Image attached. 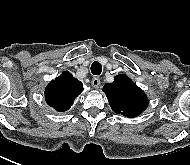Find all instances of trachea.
<instances>
[{"mask_svg": "<svg viewBox=\"0 0 190 165\" xmlns=\"http://www.w3.org/2000/svg\"><path fill=\"white\" fill-rule=\"evenodd\" d=\"M91 72L93 75H100L102 72V66L99 62H93L91 65Z\"/></svg>", "mask_w": 190, "mask_h": 165, "instance_id": "1", "label": "trachea"}]
</instances>
